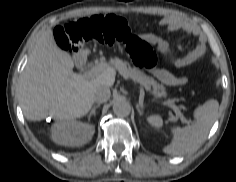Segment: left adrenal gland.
<instances>
[{
  "instance_id": "1",
  "label": "left adrenal gland",
  "mask_w": 236,
  "mask_h": 182,
  "mask_svg": "<svg viewBox=\"0 0 236 182\" xmlns=\"http://www.w3.org/2000/svg\"><path fill=\"white\" fill-rule=\"evenodd\" d=\"M137 110L140 115H142V111L144 110V106L140 103L137 104Z\"/></svg>"
}]
</instances>
